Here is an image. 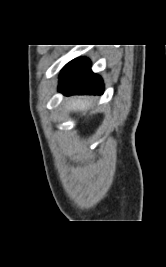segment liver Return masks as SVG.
I'll return each mask as SVG.
<instances>
[{
	"mask_svg": "<svg viewBox=\"0 0 166 267\" xmlns=\"http://www.w3.org/2000/svg\"><path fill=\"white\" fill-rule=\"evenodd\" d=\"M91 103L88 97H75L71 99L66 108L72 109L74 111H87L90 107Z\"/></svg>",
	"mask_w": 166,
	"mask_h": 267,
	"instance_id": "6515ba94",
	"label": "liver"
}]
</instances>
